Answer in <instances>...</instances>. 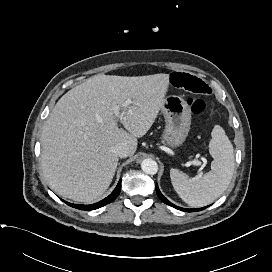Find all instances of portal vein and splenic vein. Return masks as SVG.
Here are the masks:
<instances>
[{
    "instance_id": "1",
    "label": "portal vein and splenic vein",
    "mask_w": 272,
    "mask_h": 272,
    "mask_svg": "<svg viewBox=\"0 0 272 272\" xmlns=\"http://www.w3.org/2000/svg\"><path fill=\"white\" fill-rule=\"evenodd\" d=\"M131 103H132V101L130 99H128L123 104V107H126V106L130 105ZM114 113H115L116 116H119V108L118 107L114 108ZM191 164L199 166V165H201V162L197 160V161H192Z\"/></svg>"
}]
</instances>
